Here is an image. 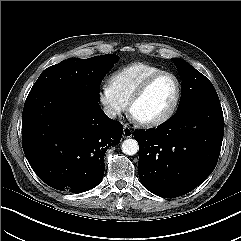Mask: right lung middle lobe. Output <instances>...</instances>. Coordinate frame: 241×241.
I'll list each match as a JSON object with an SVG mask.
<instances>
[{"instance_id":"dd1d6c3e","label":"right lung middle lobe","mask_w":241,"mask_h":241,"mask_svg":"<svg viewBox=\"0 0 241 241\" xmlns=\"http://www.w3.org/2000/svg\"><path fill=\"white\" fill-rule=\"evenodd\" d=\"M119 57L114 54L88 59L71 58L45 69L31 91L63 85L78 90L93 101L99 102V86L105 74L114 66Z\"/></svg>"}]
</instances>
